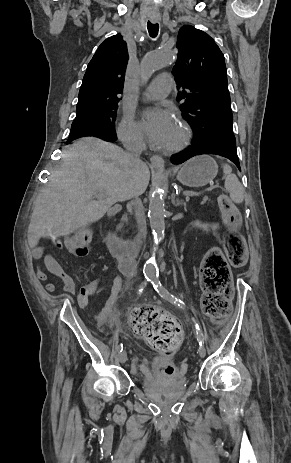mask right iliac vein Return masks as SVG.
Instances as JSON below:
<instances>
[{
    "mask_svg": "<svg viewBox=\"0 0 291 463\" xmlns=\"http://www.w3.org/2000/svg\"><path fill=\"white\" fill-rule=\"evenodd\" d=\"M118 359L122 364H124L127 361V353L125 350L119 352Z\"/></svg>",
    "mask_w": 291,
    "mask_h": 463,
    "instance_id": "1",
    "label": "right iliac vein"
}]
</instances>
